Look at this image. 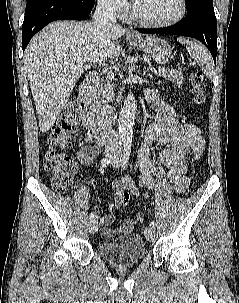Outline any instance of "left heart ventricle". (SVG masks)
Here are the masks:
<instances>
[{"label":"left heart ventricle","mask_w":239,"mask_h":303,"mask_svg":"<svg viewBox=\"0 0 239 303\" xmlns=\"http://www.w3.org/2000/svg\"><path fill=\"white\" fill-rule=\"evenodd\" d=\"M134 5L139 15L154 21L170 19L180 8L178 0H135Z\"/></svg>","instance_id":"left-heart-ventricle-1"}]
</instances>
